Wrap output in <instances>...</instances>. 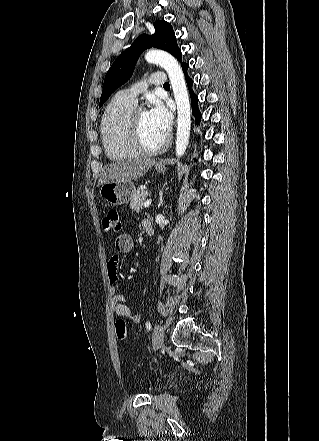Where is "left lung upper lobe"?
<instances>
[{
	"label": "left lung upper lobe",
	"mask_w": 319,
	"mask_h": 441,
	"mask_svg": "<svg viewBox=\"0 0 319 441\" xmlns=\"http://www.w3.org/2000/svg\"><path fill=\"white\" fill-rule=\"evenodd\" d=\"M153 25L154 35H140L128 49L118 56L108 70L104 79L100 107L118 87L129 80L139 56L145 49L156 47L165 50L181 62L182 54L172 26L164 20L155 21Z\"/></svg>",
	"instance_id": "left-lung-upper-lobe-1"
}]
</instances>
